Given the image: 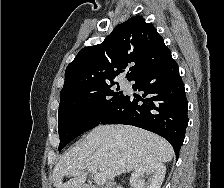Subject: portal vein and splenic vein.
Segmentation results:
<instances>
[{"label":"portal vein and splenic vein","instance_id":"portal-vein-and-splenic-vein-1","mask_svg":"<svg viewBox=\"0 0 224 188\" xmlns=\"http://www.w3.org/2000/svg\"><path fill=\"white\" fill-rule=\"evenodd\" d=\"M87 170L94 174V180L97 185H104L106 183V177L101 173H97L96 167H89Z\"/></svg>","mask_w":224,"mask_h":188}]
</instances>
